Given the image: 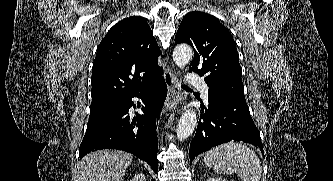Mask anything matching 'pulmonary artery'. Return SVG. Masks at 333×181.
Listing matches in <instances>:
<instances>
[{"label": "pulmonary artery", "mask_w": 333, "mask_h": 181, "mask_svg": "<svg viewBox=\"0 0 333 181\" xmlns=\"http://www.w3.org/2000/svg\"><path fill=\"white\" fill-rule=\"evenodd\" d=\"M186 79L189 84L200 88L203 98L208 99V87L202 77L195 73H189Z\"/></svg>", "instance_id": "1"}]
</instances>
